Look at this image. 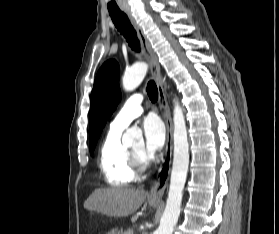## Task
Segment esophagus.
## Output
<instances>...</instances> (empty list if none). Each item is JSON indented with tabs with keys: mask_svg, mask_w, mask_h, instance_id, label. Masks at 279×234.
Returning a JSON list of instances; mask_svg holds the SVG:
<instances>
[{
	"mask_svg": "<svg viewBox=\"0 0 279 234\" xmlns=\"http://www.w3.org/2000/svg\"><path fill=\"white\" fill-rule=\"evenodd\" d=\"M127 17L129 18L132 26L137 32L138 38L140 40L141 48L150 62L151 66V74L153 79L156 82L158 95H159V104L160 108L162 109V115L166 124L167 129V137H166V148H165V155L162 159V163L158 169L156 180L154 185L152 186L148 197L154 200H160L164 194L165 188L167 186V182L169 179V173L171 169V162H172V150H173V124L172 118L169 110V105L167 101V97L163 88V82L161 77L160 71V64L158 62V58L155 55L154 51L151 48V45L146 38L142 28L139 24L135 21L134 17L129 11H125Z\"/></svg>",
	"mask_w": 279,
	"mask_h": 234,
	"instance_id": "1",
	"label": "esophagus"
}]
</instances>
